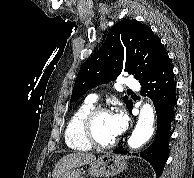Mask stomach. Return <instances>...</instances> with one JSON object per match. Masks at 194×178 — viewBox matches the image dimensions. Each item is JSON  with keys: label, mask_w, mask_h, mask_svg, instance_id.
<instances>
[{"label": "stomach", "mask_w": 194, "mask_h": 178, "mask_svg": "<svg viewBox=\"0 0 194 178\" xmlns=\"http://www.w3.org/2000/svg\"><path fill=\"white\" fill-rule=\"evenodd\" d=\"M127 166L126 158L106 153L91 163L88 171L95 177H109L123 172ZM57 178H81V173L75 169L68 170Z\"/></svg>", "instance_id": "1"}]
</instances>
